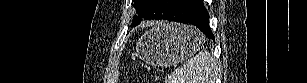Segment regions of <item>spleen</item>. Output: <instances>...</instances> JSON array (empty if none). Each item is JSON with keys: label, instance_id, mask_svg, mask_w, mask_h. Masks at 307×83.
<instances>
[{"label": "spleen", "instance_id": "3e777b00", "mask_svg": "<svg viewBox=\"0 0 307 83\" xmlns=\"http://www.w3.org/2000/svg\"><path fill=\"white\" fill-rule=\"evenodd\" d=\"M216 76L215 58L203 50L176 68L165 78V83H215Z\"/></svg>", "mask_w": 307, "mask_h": 83}]
</instances>
